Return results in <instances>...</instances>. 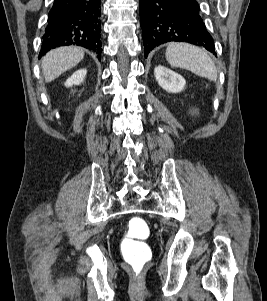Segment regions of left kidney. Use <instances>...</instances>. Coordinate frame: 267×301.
<instances>
[{
  "mask_svg": "<svg viewBox=\"0 0 267 301\" xmlns=\"http://www.w3.org/2000/svg\"><path fill=\"white\" fill-rule=\"evenodd\" d=\"M154 75L159 86L169 93L181 92L185 87V79L164 66L155 67Z\"/></svg>",
  "mask_w": 267,
  "mask_h": 301,
  "instance_id": "left-kidney-1",
  "label": "left kidney"
}]
</instances>
